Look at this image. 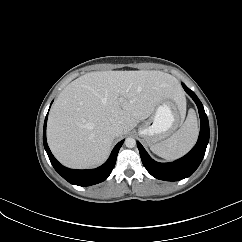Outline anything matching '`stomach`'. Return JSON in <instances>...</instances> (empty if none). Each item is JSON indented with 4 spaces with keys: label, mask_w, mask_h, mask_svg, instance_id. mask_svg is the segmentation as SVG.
Masks as SVG:
<instances>
[{
    "label": "stomach",
    "mask_w": 242,
    "mask_h": 242,
    "mask_svg": "<svg viewBox=\"0 0 242 242\" xmlns=\"http://www.w3.org/2000/svg\"><path fill=\"white\" fill-rule=\"evenodd\" d=\"M185 117V109L174 100H164L155 109L151 119L139 127V135L150 146L170 136Z\"/></svg>",
    "instance_id": "1"
}]
</instances>
